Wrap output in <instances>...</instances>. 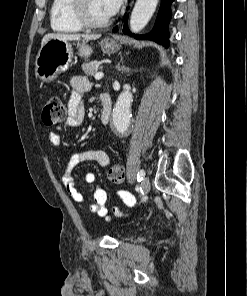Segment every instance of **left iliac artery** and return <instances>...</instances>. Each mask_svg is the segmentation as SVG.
I'll return each instance as SVG.
<instances>
[{"instance_id": "left-iliac-artery-1", "label": "left iliac artery", "mask_w": 247, "mask_h": 296, "mask_svg": "<svg viewBox=\"0 0 247 296\" xmlns=\"http://www.w3.org/2000/svg\"><path fill=\"white\" fill-rule=\"evenodd\" d=\"M144 176H145V171L144 170H140L139 172H138V174H137V181H142L143 180V178H144Z\"/></svg>"}]
</instances>
